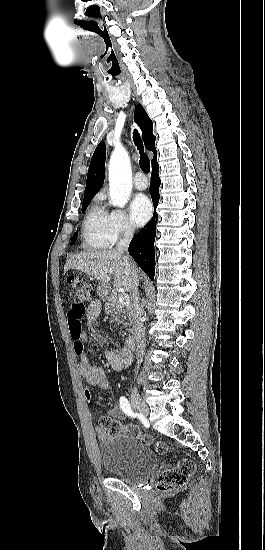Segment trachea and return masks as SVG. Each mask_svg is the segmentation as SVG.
I'll return each instance as SVG.
<instances>
[{"mask_svg":"<svg viewBox=\"0 0 265 550\" xmlns=\"http://www.w3.org/2000/svg\"><path fill=\"white\" fill-rule=\"evenodd\" d=\"M134 142H135V145L137 146V148L139 150V153H140V160H139L140 168L144 173H149L150 172V161H149L148 157L146 156V154L144 153L141 138L139 137V135L136 132L134 134Z\"/></svg>","mask_w":265,"mask_h":550,"instance_id":"obj_1","label":"trachea"}]
</instances>
